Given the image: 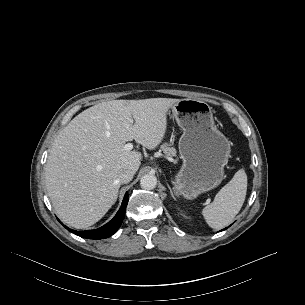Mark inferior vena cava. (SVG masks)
<instances>
[{
  "mask_svg": "<svg viewBox=\"0 0 305 305\" xmlns=\"http://www.w3.org/2000/svg\"><path fill=\"white\" fill-rule=\"evenodd\" d=\"M134 174H135V171L132 169H129V168L122 169L118 173L117 180L119 183H122V184L128 183L133 179Z\"/></svg>",
  "mask_w": 305,
  "mask_h": 305,
  "instance_id": "inferior-vena-cava-1",
  "label": "inferior vena cava"
}]
</instances>
